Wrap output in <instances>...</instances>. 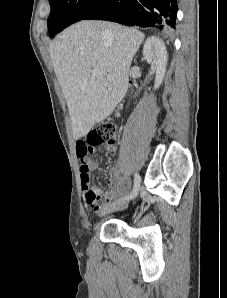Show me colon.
I'll return each instance as SVG.
<instances>
[{"label": "colon", "mask_w": 227, "mask_h": 298, "mask_svg": "<svg viewBox=\"0 0 227 298\" xmlns=\"http://www.w3.org/2000/svg\"><path fill=\"white\" fill-rule=\"evenodd\" d=\"M118 136L116 132V128L114 125L110 123H103L98 125L96 128L92 129L87 135V142H89V146L93 147L97 145H113L117 142ZM88 179L84 180V186L87 187ZM86 198L89 203L94 204L97 200L96 196L88 191L86 193Z\"/></svg>", "instance_id": "colon-1"}]
</instances>
